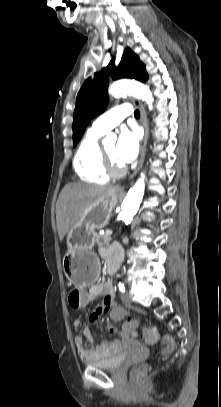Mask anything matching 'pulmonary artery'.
I'll return each mask as SVG.
<instances>
[{
  "instance_id": "pulmonary-artery-1",
  "label": "pulmonary artery",
  "mask_w": 221,
  "mask_h": 407,
  "mask_svg": "<svg viewBox=\"0 0 221 407\" xmlns=\"http://www.w3.org/2000/svg\"><path fill=\"white\" fill-rule=\"evenodd\" d=\"M130 104L118 105L99 116L93 123L90 130L104 134L121 123V121L132 114Z\"/></svg>"
}]
</instances>
